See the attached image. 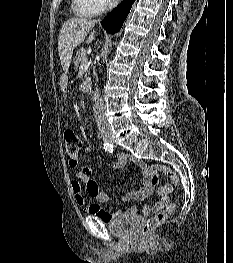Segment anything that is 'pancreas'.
<instances>
[{"mask_svg":"<svg viewBox=\"0 0 233 263\" xmlns=\"http://www.w3.org/2000/svg\"><path fill=\"white\" fill-rule=\"evenodd\" d=\"M87 60V56H86V51L85 49L81 48L79 49L77 52H76V57H75V60H74V63H75V66L76 68L79 67V65L86 61ZM87 72V71H86ZM88 91V89H87Z\"/></svg>","mask_w":233,"mask_h":263,"instance_id":"cf45deb5","label":"pancreas"}]
</instances>
